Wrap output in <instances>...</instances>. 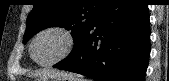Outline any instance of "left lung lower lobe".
Wrapping results in <instances>:
<instances>
[{"instance_id": "0a47b994", "label": "left lung lower lobe", "mask_w": 169, "mask_h": 81, "mask_svg": "<svg viewBox=\"0 0 169 81\" xmlns=\"http://www.w3.org/2000/svg\"><path fill=\"white\" fill-rule=\"evenodd\" d=\"M149 55L148 5L109 0L74 52L54 67L97 81H144Z\"/></svg>"}]
</instances>
